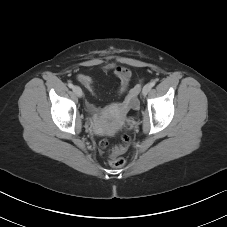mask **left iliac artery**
<instances>
[{
    "instance_id": "left-iliac-artery-1",
    "label": "left iliac artery",
    "mask_w": 227,
    "mask_h": 227,
    "mask_svg": "<svg viewBox=\"0 0 227 227\" xmlns=\"http://www.w3.org/2000/svg\"><path fill=\"white\" fill-rule=\"evenodd\" d=\"M151 87L155 86V81L150 82Z\"/></svg>"
}]
</instances>
